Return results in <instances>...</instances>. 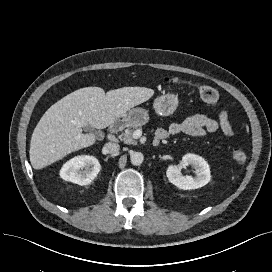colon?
<instances>
[{
  "label": "colon",
  "mask_w": 272,
  "mask_h": 272,
  "mask_svg": "<svg viewBox=\"0 0 272 272\" xmlns=\"http://www.w3.org/2000/svg\"><path fill=\"white\" fill-rule=\"evenodd\" d=\"M166 82L171 84L179 83L176 79H166ZM196 88L200 98L209 106H216L219 103V93L215 88L206 85L197 86ZM231 159L234 163L243 165L246 163L248 155L243 150H234L231 153Z\"/></svg>",
  "instance_id": "1"
}]
</instances>
